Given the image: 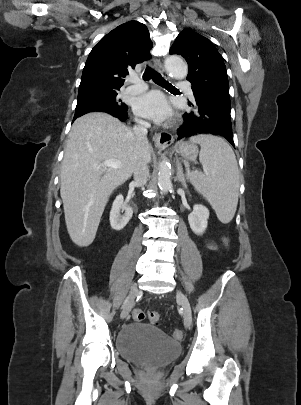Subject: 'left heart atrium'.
Here are the masks:
<instances>
[{
	"label": "left heart atrium",
	"mask_w": 301,
	"mask_h": 405,
	"mask_svg": "<svg viewBox=\"0 0 301 405\" xmlns=\"http://www.w3.org/2000/svg\"><path fill=\"white\" fill-rule=\"evenodd\" d=\"M137 115L161 123L171 119L173 110L167 98L158 91H151L138 97L134 102Z\"/></svg>",
	"instance_id": "1"
}]
</instances>
